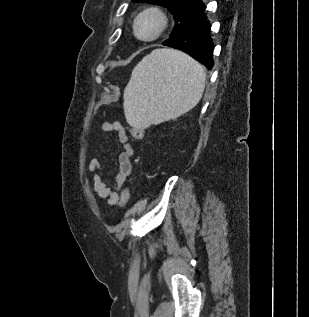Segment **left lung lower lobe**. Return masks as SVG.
<instances>
[{
	"label": "left lung lower lobe",
	"instance_id": "0a47b994",
	"mask_svg": "<svg viewBox=\"0 0 309 317\" xmlns=\"http://www.w3.org/2000/svg\"><path fill=\"white\" fill-rule=\"evenodd\" d=\"M203 5L189 19L187 25L180 32L169 37L162 44L182 50L194 59L211 69L213 62L214 44L211 38V24Z\"/></svg>",
	"mask_w": 309,
	"mask_h": 317
}]
</instances>
